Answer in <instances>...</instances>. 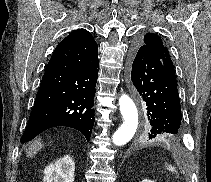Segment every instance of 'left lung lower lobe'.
I'll return each mask as SVG.
<instances>
[{"instance_id":"left-lung-lower-lobe-1","label":"left lung lower lobe","mask_w":211,"mask_h":182,"mask_svg":"<svg viewBox=\"0 0 211 182\" xmlns=\"http://www.w3.org/2000/svg\"><path fill=\"white\" fill-rule=\"evenodd\" d=\"M130 87L144 101L150 123L146 138L177 141L183 132L177 81L147 47L135 46L129 64Z\"/></svg>"}]
</instances>
